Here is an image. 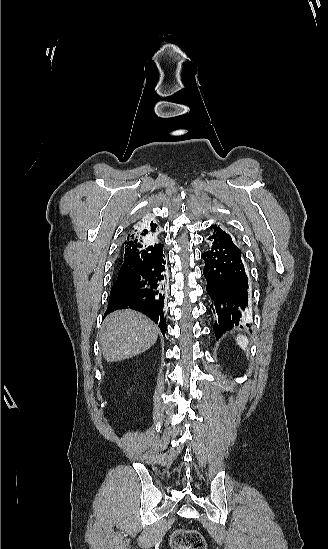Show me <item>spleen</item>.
<instances>
[{
  "label": "spleen",
  "instance_id": "1",
  "mask_svg": "<svg viewBox=\"0 0 328 549\" xmlns=\"http://www.w3.org/2000/svg\"><path fill=\"white\" fill-rule=\"evenodd\" d=\"M236 343L239 347H241V349H243V351H246L249 341L247 337H244V335H238V337H236Z\"/></svg>",
  "mask_w": 328,
  "mask_h": 549
}]
</instances>
